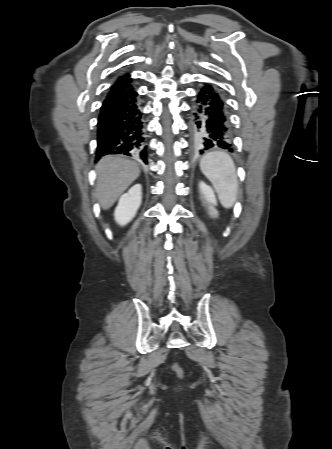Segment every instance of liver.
<instances>
[{
	"instance_id": "6515ba94",
	"label": "liver",
	"mask_w": 332,
	"mask_h": 449,
	"mask_svg": "<svg viewBox=\"0 0 332 449\" xmlns=\"http://www.w3.org/2000/svg\"><path fill=\"white\" fill-rule=\"evenodd\" d=\"M96 198L104 210L113 206L121 194L140 175L137 163L120 156H105L96 165Z\"/></svg>"
}]
</instances>
